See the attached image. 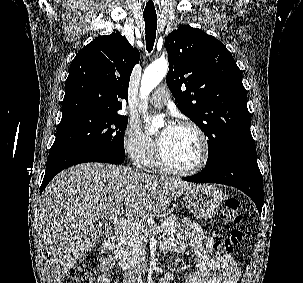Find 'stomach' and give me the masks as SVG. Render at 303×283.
Here are the masks:
<instances>
[{"label":"stomach","instance_id":"1","mask_svg":"<svg viewBox=\"0 0 303 283\" xmlns=\"http://www.w3.org/2000/svg\"><path fill=\"white\" fill-rule=\"evenodd\" d=\"M186 207L196 217H213L223 204V193L211 185H195L186 190Z\"/></svg>","mask_w":303,"mask_h":283}]
</instances>
